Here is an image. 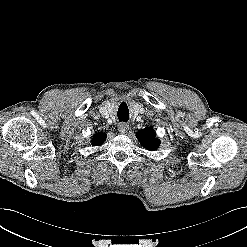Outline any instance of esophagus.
I'll use <instances>...</instances> for the list:
<instances>
[{
    "mask_svg": "<svg viewBox=\"0 0 247 247\" xmlns=\"http://www.w3.org/2000/svg\"><path fill=\"white\" fill-rule=\"evenodd\" d=\"M129 130V125L127 123H120L118 125V131L121 133V134H125L127 133V131Z\"/></svg>",
    "mask_w": 247,
    "mask_h": 247,
    "instance_id": "34e87169",
    "label": "esophagus"
}]
</instances>
